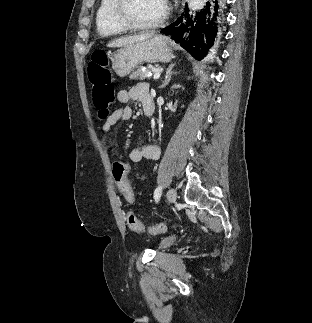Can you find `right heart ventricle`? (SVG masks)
Here are the masks:
<instances>
[{
    "mask_svg": "<svg viewBox=\"0 0 312 323\" xmlns=\"http://www.w3.org/2000/svg\"><path fill=\"white\" fill-rule=\"evenodd\" d=\"M96 7V25L102 33H120V29H127V22H122L119 13H116V1L98 0Z\"/></svg>",
    "mask_w": 312,
    "mask_h": 323,
    "instance_id": "e07e8e85",
    "label": "right heart ventricle"
}]
</instances>
